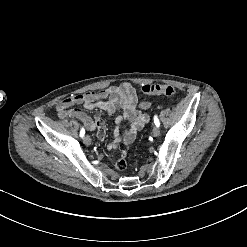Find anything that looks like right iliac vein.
<instances>
[{"label": "right iliac vein", "instance_id": "1", "mask_svg": "<svg viewBox=\"0 0 247 247\" xmlns=\"http://www.w3.org/2000/svg\"><path fill=\"white\" fill-rule=\"evenodd\" d=\"M83 142L84 144H86L87 146H89L92 142L91 138L89 135H86L84 138H83Z\"/></svg>", "mask_w": 247, "mask_h": 247}]
</instances>
